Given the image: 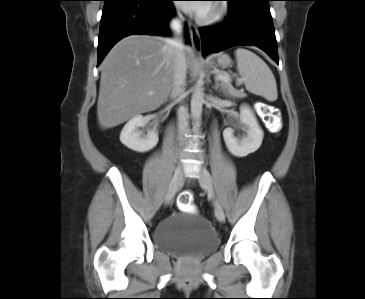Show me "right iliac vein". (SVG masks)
<instances>
[{
    "label": "right iliac vein",
    "mask_w": 365,
    "mask_h": 299,
    "mask_svg": "<svg viewBox=\"0 0 365 299\" xmlns=\"http://www.w3.org/2000/svg\"><path fill=\"white\" fill-rule=\"evenodd\" d=\"M182 175H183V167L182 165L178 164L174 169V174L168 186V190L165 197V204H169L173 199L180 184Z\"/></svg>",
    "instance_id": "63e3f726"
}]
</instances>
